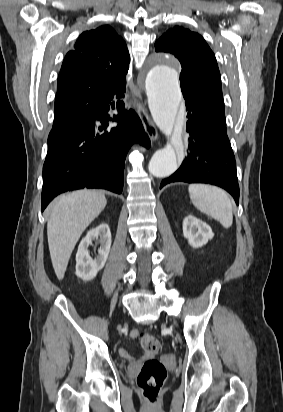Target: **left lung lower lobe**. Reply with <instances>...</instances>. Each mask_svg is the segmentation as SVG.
Listing matches in <instances>:
<instances>
[{
	"label": "left lung lower lobe",
	"mask_w": 283,
	"mask_h": 412,
	"mask_svg": "<svg viewBox=\"0 0 283 412\" xmlns=\"http://www.w3.org/2000/svg\"><path fill=\"white\" fill-rule=\"evenodd\" d=\"M187 155L180 168L162 180L160 188L172 182L209 183L228 191L239 204V185L235 157L226 133V121L204 114L197 106L186 104Z\"/></svg>",
	"instance_id": "1"
}]
</instances>
